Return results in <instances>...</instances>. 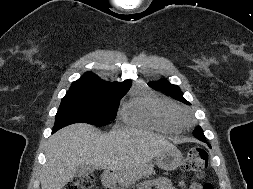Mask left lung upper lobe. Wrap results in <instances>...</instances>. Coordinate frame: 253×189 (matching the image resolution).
<instances>
[{"mask_svg": "<svg viewBox=\"0 0 253 189\" xmlns=\"http://www.w3.org/2000/svg\"><path fill=\"white\" fill-rule=\"evenodd\" d=\"M149 86H151L152 88H154L156 90L163 91L164 93L168 94L169 96H171L172 98H174L176 100H179L183 103L189 104V102H187L183 98V94H182L180 88L176 85L170 84L166 80H161V81H157V82H150ZM193 133H198L200 135H204L203 130L200 127H198Z\"/></svg>", "mask_w": 253, "mask_h": 189, "instance_id": "obj_1", "label": "left lung upper lobe"}]
</instances>
